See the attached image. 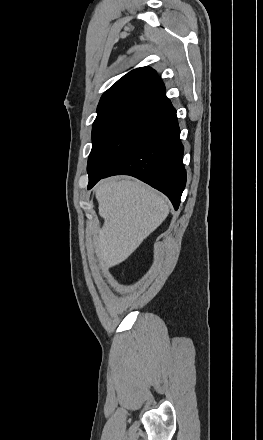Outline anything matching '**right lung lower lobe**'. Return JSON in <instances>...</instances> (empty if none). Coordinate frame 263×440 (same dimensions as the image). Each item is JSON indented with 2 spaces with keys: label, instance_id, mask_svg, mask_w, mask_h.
Here are the masks:
<instances>
[{
  "label": "right lung lower lobe",
  "instance_id": "98d812e1",
  "mask_svg": "<svg viewBox=\"0 0 263 440\" xmlns=\"http://www.w3.org/2000/svg\"><path fill=\"white\" fill-rule=\"evenodd\" d=\"M159 108L158 114L111 168L103 176L89 179L88 189L105 177L131 175L163 192L178 209L186 184L184 148L176 110L170 100Z\"/></svg>",
  "mask_w": 263,
  "mask_h": 440
}]
</instances>
